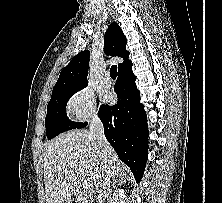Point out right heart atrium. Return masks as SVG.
Here are the masks:
<instances>
[{
  "mask_svg": "<svg viewBox=\"0 0 222 203\" xmlns=\"http://www.w3.org/2000/svg\"><path fill=\"white\" fill-rule=\"evenodd\" d=\"M68 113L76 121H86L96 114V101L92 91L80 89L68 101Z\"/></svg>",
  "mask_w": 222,
  "mask_h": 203,
  "instance_id": "d8ad5b80",
  "label": "right heart atrium"
}]
</instances>
